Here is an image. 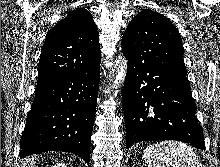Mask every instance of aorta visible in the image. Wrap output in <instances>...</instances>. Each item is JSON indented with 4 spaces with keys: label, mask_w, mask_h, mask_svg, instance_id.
Wrapping results in <instances>:
<instances>
[{
    "label": "aorta",
    "mask_w": 220,
    "mask_h": 167,
    "mask_svg": "<svg viewBox=\"0 0 220 167\" xmlns=\"http://www.w3.org/2000/svg\"><path fill=\"white\" fill-rule=\"evenodd\" d=\"M121 60H117V64H119ZM125 66H126V60L122 61V65L120 68H118V73L116 75V79L114 81V84L117 86L119 83L123 80L124 74H125Z\"/></svg>",
    "instance_id": "aorta-1"
}]
</instances>
